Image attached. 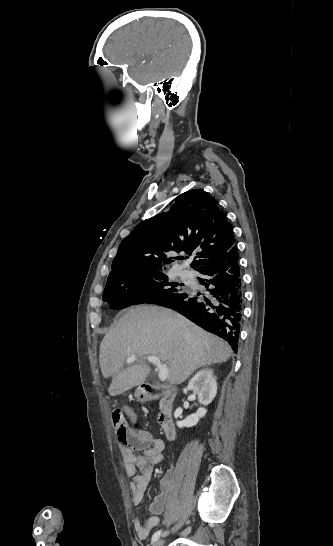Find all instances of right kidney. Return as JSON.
I'll return each instance as SVG.
<instances>
[{"mask_svg": "<svg viewBox=\"0 0 333 546\" xmlns=\"http://www.w3.org/2000/svg\"><path fill=\"white\" fill-rule=\"evenodd\" d=\"M213 373L210 368L200 370L189 381L187 386L188 390H192L194 394L198 395V400L203 406H208L217 393V383ZM206 412V408L201 407L196 413L189 415L182 421H177L176 424L179 428L195 426L199 419L205 416ZM181 414L182 408H177L174 417L178 418Z\"/></svg>", "mask_w": 333, "mask_h": 546, "instance_id": "right-kidney-1", "label": "right kidney"}]
</instances>
